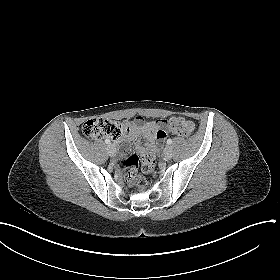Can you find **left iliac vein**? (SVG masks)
I'll use <instances>...</instances> for the list:
<instances>
[{
	"mask_svg": "<svg viewBox=\"0 0 280 280\" xmlns=\"http://www.w3.org/2000/svg\"><path fill=\"white\" fill-rule=\"evenodd\" d=\"M163 155H164L165 159L170 160L172 158V155H173L172 148L170 146H166L164 151H163Z\"/></svg>",
	"mask_w": 280,
	"mask_h": 280,
	"instance_id": "1",
	"label": "left iliac vein"
}]
</instances>
